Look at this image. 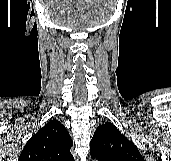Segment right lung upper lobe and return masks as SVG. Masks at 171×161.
<instances>
[{"label": "right lung upper lobe", "mask_w": 171, "mask_h": 161, "mask_svg": "<svg viewBox=\"0 0 171 161\" xmlns=\"http://www.w3.org/2000/svg\"><path fill=\"white\" fill-rule=\"evenodd\" d=\"M72 146L65 126L51 120L27 141L18 161H74Z\"/></svg>", "instance_id": "1"}]
</instances>
